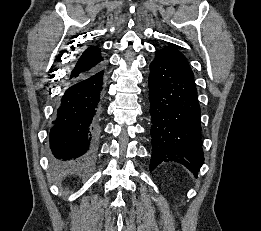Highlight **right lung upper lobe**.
Here are the masks:
<instances>
[{
  "label": "right lung upper lobe",
  "instance_id": "1",
  "mask_svg": "<svg viewBox=\"0 0 261 231\" xmlns=\"http://www.w3.org/2000/svg\"><path fill=\"white\" fill-rule=\"evenodd\" d=\"M103 60L98 47L91 46L87 48L79 57L67 81L78 79L93 72L103 65Z\"/></svg>",
  "mask_w": 261,
  "mask_h": 231
}]
</instances>
